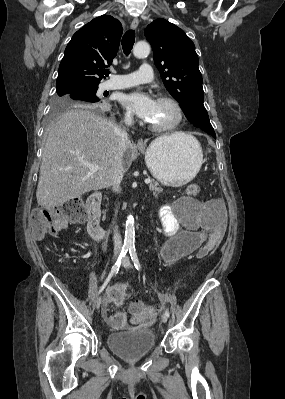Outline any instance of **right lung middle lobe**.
<instances>
[{
  "mask_svg": "<svg viewBox=\"0 0 285 399\" xmlns=\"http://www.w3.org/2000/svg\"><path fill=\"white\" fill-rule=\"evenodd\" d=\"M98 87L89 89H62L57 90L54 100L52 117L62 111L76 107L102 108L105 102L96 95Z\"/></svg>",
  "mask_w": 285,
  "mask_h": 399,
  "instance_id": "obj_1",
  "label": "right lung middle lobe"
}]
</instances>
